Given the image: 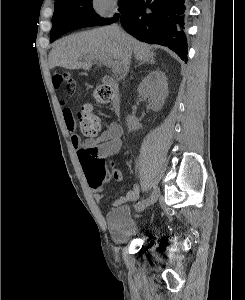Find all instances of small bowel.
<instances>
[{
    "label": "small bowel",
    "instance_id": "obj_1",
    "mask_svg": "<svg viewBox=\"0 0 245 300\" xmlns=\"http://www.w3.org/2000/svg\"><path fill=\"white\" fill-rule=\"evenodd\" d=\"M61 111L64 119V123L66 129L70 132L71 144L73 148L76 150L79 160L81 162L80 153L83 149L94 148L97 151V155L103 159H105L112 168V177L116 181H122L123 175L122 172L114 167V163L112 161V156L116 155L121 146H122V135L123 129L122 127L116 123L112 122L106 130H104L98 139H88L82 141L81 138L75 133L76 130V122L75 119L66 105V103L61 100ZM140 186L135 184L131 190H129L124 196L118 199L115 204H121L126 201H133L139 197ZM103 198L101 193L94 194V200L96 202H100Z\"/></svg>",
    "mask_w": 245,
    "mask_h": 300
}]
</instances>
